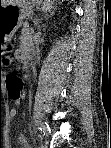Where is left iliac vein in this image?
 <instances>
[{
  "mask_svg": "<svg viewBox=\"0 0 111 148\" xmlns=\"http://www.w3.org/2000/svg\"><path fill=\"white\" fill-rule=\"evenodd\" d=\"M42 128H43L44 130H47V127H46L45 124H42Z\"/></svg>",
  "mask_w": 111,
  "mask_h": 148,
  "instance_id": "4c4485c4",
  "label": "left iliac vein"
}]
</instances>
